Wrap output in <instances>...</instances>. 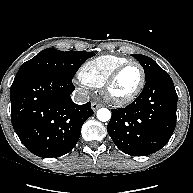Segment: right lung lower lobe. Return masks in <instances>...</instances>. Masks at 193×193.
<instances>
[{
  "label": "right lung lower lobe",
  "mask_w": 193,
  "mask_h": 193,
  "mask_svg": "<svg viewBox=\"0 0 193 193\" xmlns=\"http://www.w3.org/2000/svg\"><path fill=\"white\" fill-rule=\"evenodd\" d=\"M72 81L46 74L15 78L11 86V121L33 154L62 156L76 145L83 123L93 114L90 102L75 104Z\"/></svg>",
  "instance_id": "obj_1"
}]
</instances>
